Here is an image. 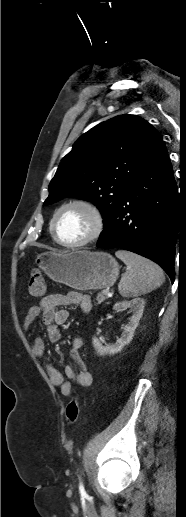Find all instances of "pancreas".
<instances>
[{"label": "pancreas", "instance_id": "obj_1", "mask_svg": "<svg viewBox=\"0 0 186 517\" xmlns=\"http://www.w3.org/2000/svg\"><path fill=\"white\" fill-rule=\"evenodd\" d=\"M106 299H107V295L104 292H101V293L97 294V299L96 300L98 301V304H101Z\"/></svg>", "mask_w": 186, "mask_h": 517}]
</instances>
